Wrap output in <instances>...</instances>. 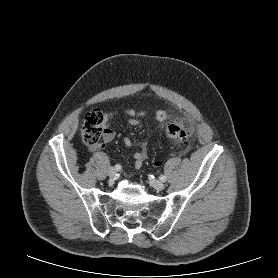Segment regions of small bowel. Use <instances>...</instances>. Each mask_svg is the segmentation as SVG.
<instances>
[{"instance_id":"obj_1","label":"small bowel","mask_w":278,"mask_h":278,"mask_svg":"<svg viewBox=\"0 0 278 278\" xmlns=\"http://www.w3.org/2000/svg\"><path fill=\"white\" fill-rule=\"evenodd\" d=\"M121 114L126 118V120L132 125H139L141 123V118L144 115V112L139 109H125ZM118 115L117 112H111L106 114L103 122V141L105 143L111 142L115 138V132L112 128V121ZM167 113L164 110H157L155 112V120L159 123L167 119ZM126 147L132 145L130 138L126 137L123 140ZM103 147V146H102ZM147 158V150L145 147H141L138 151L134 153V167L139 169L143 162ZM159 165V163H156Z\"/></svg>"}]
</instances>
